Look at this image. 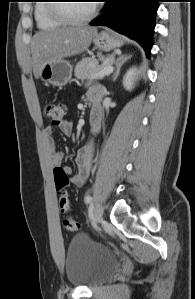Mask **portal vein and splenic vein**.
<instances>
[{"label":"portal vein and splenic vein","mask_w":195,"mask_h":299,"mask_svg":"<svg viewBox=\"0 0 195 299\" xmlns=\"http://www.w3.org/2000/svg\"><path fill=\"white\" fill-rule=\"evenodd\" d=\"M112 72H113V67L112 66H107V67H104L102 70H100L95 75V77H102V76L108 75V74H110Z\"/></svg>","instance_id":"obj_1"}]
</instances>
